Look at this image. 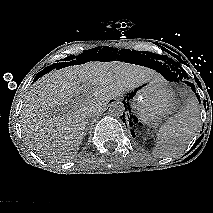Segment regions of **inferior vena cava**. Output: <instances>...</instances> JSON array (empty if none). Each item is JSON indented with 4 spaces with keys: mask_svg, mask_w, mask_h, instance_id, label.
Returning a JSON list of instances; mask_svg holds the SVG:
<instances>
[{
    "mask_svg": "<svg viewBox=\"0 0 213 213\" xmlns=\"http://www.w3.org/2000/svg\"><path fill=\"white\" fill-rule=\"evenodd\" d=\"M96 114H97V112H92L91 114H88V115H87V118H88V119H91V118L94 119V118H96V116H97Z\"/></svg>",
    "mask_w": 213,
    "mask_h": 213,
    "instance_id": "obj_1",
    "label": "inferior vena cava"
}]
</instances>
